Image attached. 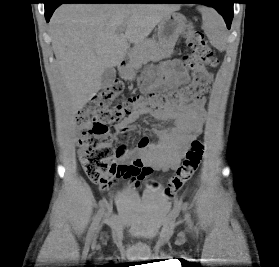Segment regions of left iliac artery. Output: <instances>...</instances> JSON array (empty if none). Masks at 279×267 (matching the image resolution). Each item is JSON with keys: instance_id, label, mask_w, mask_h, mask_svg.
I'll list each match as a JSON object with an SVG mask.
<instances>
[{"instance_id": "left-iliac-artery-1", "label": "left iliac artery", "mask_w": 279, "mask_h": 267, "mask_svg": "<svg viewBox=\"0 0 279 267\" xmlns=\"http://www.w3.org/2000/svg\"><path fill=\"white\" fill-rule=\"evenodd\" d=\"M186 219H187V222L189 223V225H190L191 227H193V223H192L191 218H190V215H189L188 213H186Z\"/></svg>"}]
</instances>
